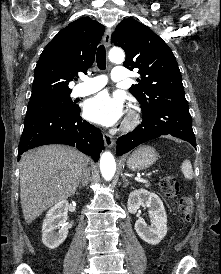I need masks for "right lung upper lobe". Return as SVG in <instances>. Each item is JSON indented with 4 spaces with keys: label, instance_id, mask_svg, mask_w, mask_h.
Segmentation results:
<instances>
[{
    "label": "right lung upper lobe",
    "instance_id": "right-lung-upper-lobe-1",
    "mask_svg": "<svg viewBox=\"0 0 221 274\" xmlns=\"http://www.w3.org/2000/svg\"><path fill=\"white\" fill-rule=\"evenodd\" d=\"M105 27L88 17L63 28L44 48L34 71L30 100L71 93L69 81L87 73Z\"/></svg>",
    "mask_w": 221,
    "mask_h": 274
}]
</instances>
